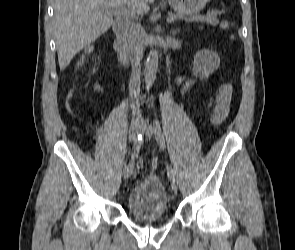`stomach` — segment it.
<instances>
[{
	"instance_id": "0dacf381",
	"label": "stomach",
	"mask_w": 295,
	"mask_h": 250,
	"mask_svg": "<svg viewBox=\"0 0 295 250\" xmlns=\"http://www.w3.org/2000/svg\"><path fill=\"white\" fill-rule=\"evenodd\" d=\"M168 2L178 14L193 16L205 7L208 0H168Z\"/></svg>"
}]
</instances>
